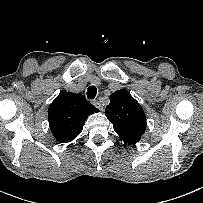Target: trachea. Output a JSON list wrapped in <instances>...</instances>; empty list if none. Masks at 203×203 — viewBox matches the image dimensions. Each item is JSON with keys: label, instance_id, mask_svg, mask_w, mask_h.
<instances>
[{"label": "trachea", "instance_id": "1", "mask_svg": "<svg viewBox=\"0 0 203 203\" xmlns=\"http://www.w3.org/2000/svg\"><path fill=\"white\" fill-rule=\"evenodd\" d=\"M96 94H97V89L95 86H90L87 89V98L88 99H94L96 97Z\"/></svg>", "mask_w": 203, "mask_h": 203}]
</instances>
